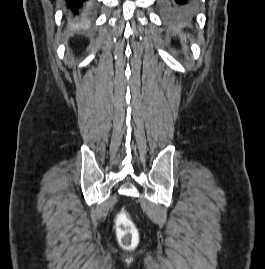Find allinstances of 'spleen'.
Returning a JSON list of instances; mask_svg holds the SVG:
<instances>
[{
    "mask_svg": "<svg viewBox=\"0 0 265 269\" xmlns=\"http://www.w3.org/2000/svg\"><path fill=\"white\" fill-rule=\"evenodd\" d=\"M183 40L186 42V38L184 37Z\"/></svg>",
    "mask_w": 265,
    "mask_h": 269,
    "instance_id": "obj_1",
    "label": "spleen"
}]
</instances>
